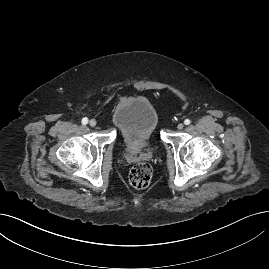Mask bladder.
Here are the masks:
<instances>
[{
	"instance_id": "1",
	"label": "bladder",
	"mask_w": 269,
	"mask_h": 269,
	"mask_svg": "<svg viewBox=\"0 0 269 269\" xmlns=\"http://www.w3.org/2000/svg\"><path fill=\"white\" fill-rule=\"evenodd\" d=\"M112 120L123 144L135 148L149 141L158 127V115L152 103L144 97H130L113 111Z\"/></svg>"
}]
</instances>
